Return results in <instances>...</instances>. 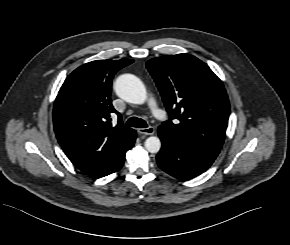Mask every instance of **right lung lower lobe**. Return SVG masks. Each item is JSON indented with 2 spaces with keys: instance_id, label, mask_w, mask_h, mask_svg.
<instances>
[{
  "instance_id": "right-lung-lower-lobe-1",
  "label": "right lung lower lobe",
  "mask_w": 290,
  "mask_h": 245,
  "mask_svg": "<svg viewBox=\"0 0 290 245\" xmlns=\"http://www.w3.org/2000/svg\"><path fill=\"white\" fill-rule=\"evenodd\" d=\"M124 163V162H123ZM123 163L114 171V172H116V171H118L121 167H122V165H123ZM113 173V172H112Z\"/></svg>"
}]
</instances>
